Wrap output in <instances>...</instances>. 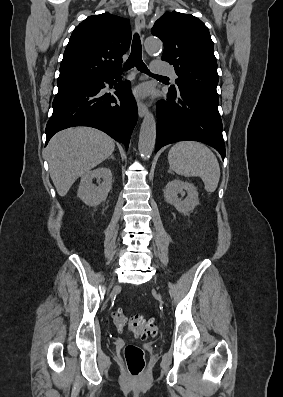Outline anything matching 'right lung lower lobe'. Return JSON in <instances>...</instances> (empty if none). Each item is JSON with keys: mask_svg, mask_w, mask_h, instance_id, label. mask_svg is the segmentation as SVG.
Here are the masks:
<instances>
[{"mask_svg": "<svg viewBox=\"0 0 283 397\" xmlns=\"http://www.w3.org/2000/svg\"><path fill=\"white\" fill-rule=\"evenodd\" d=\"M119 74L104 75L90 81L59 87L52 105L53 114L46 126V145L60 130L90 126L124 143L128 149L138 110L131 94L130 81L121 82ZM105 83L114 85V95L102 94Z\"/></svg>", "mask_w": 283, "mask_h": 397, "instance_id": "98d812e1", "label": "right lung lower lobe"}]
</instances>
